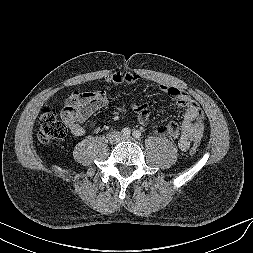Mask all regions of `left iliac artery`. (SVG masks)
<instances>
[{
    "label": "left iliac artery",
    "mask_w": 253,
    "mask_h": 253,
    "mask_svg": "<svg viewBox=\"0 0 253 253\" xmlns=\"http://www.w3.org/2000/svg\"><path fill=\"white\" fill-rule=\"evenodd\" d=\"M133 137L136 138V139H140L142 134L139 130H134L133 133H132Z\"/></svg>",
    "instance_id": "left-iliac-artery-1"
}]
</instances>
